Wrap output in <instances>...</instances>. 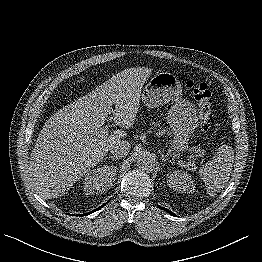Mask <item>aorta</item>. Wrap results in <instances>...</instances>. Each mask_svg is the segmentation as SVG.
Returning <instances> with one entry per match:
<instances>
[{
	"label": "aorta",
	"mask_w": 262,
	"mask_h": 262,
	"mask_svg": "<svg viewBox=\"0 0 262 262\" xmlns=\"http://www.w3.org/2000/svg\"><path fill=\"white\" fill-rule=\"evenodd\" d=\"M137 166L139 169H148L151 167V161L147 154L139 153L137 155Z\"/></svg>",
	"instance_id": "obj_1"
}]
</instances>
